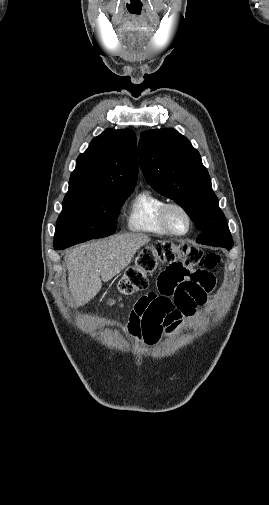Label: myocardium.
<instances>
[{
  "label": "myocardium",
  "mask_w": 269,
  "mask_h": 505,
  "mask_svg": "<svg viewBox=\"0 0 269 505\" xmlns=\"http://www.w3.org/2000/svg\"><path fill=\"white\" fill-rule=\"evenodd\" d=\"M172 208H177V209L181 210L185 214V216L187 217L188 229L185 232H182V233L176 232L169 225L168 219H167V214H168V211ZM159 220H160V223L163 226V228L167 231V233L172 236H176V237H183V236L188 235L193 228V218H192L190 211L184 205H182L181 203H178V202L164 203L159 210Z\"/></svg>",
  "instance_id": "1"
}]
</instances>
